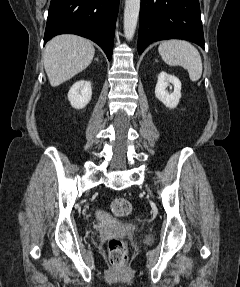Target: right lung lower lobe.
Instances as JSON below:
<instances>
[{
  "label": "right lung lower lobe",
  "mask_w": 240,
  "mask_h": 287,
  "mask_svg": "<svg viewBox=\"0 0 240 287\" xmlns=\"http://www.w3.org/2000/svg\"><path fill=\"white\" fill-rule=\"evenodd\" d=\"M119 0H51L44 44L71 33L97 43L111 60Z\"/></svg>",
  "instance_id": "obj_1"
}]
</instances>
